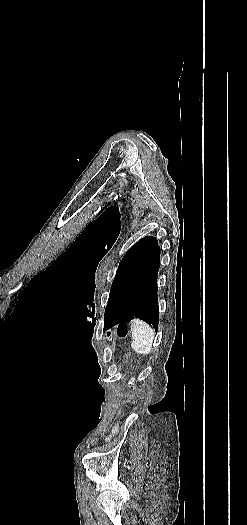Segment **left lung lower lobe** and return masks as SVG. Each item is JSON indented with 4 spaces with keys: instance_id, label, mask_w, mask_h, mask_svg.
Segmentation results:
<instances>
[{
    "instance_id": "obj_1",
    "label": "left lung lower lobe",
    "mask_w": 247,
    "mask_h": 525,
    "mask_svg": "<svg viewBox=\"0 0 247 525\" xmlns=\"http://www.w3.org/2000/svg\"><path fill=\"white\" fill-rule=\"evenodd\" d=\"M160 267V251L151 265L124 292L105 314L104 326L122 324L133 318L147 320L158 329L159 307L157 298V273Z\"/></svg>"
}]
</instances>
